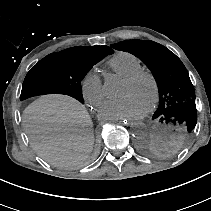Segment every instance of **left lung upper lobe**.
<instances>
[{"label": "left lung upper lobe", "mask_w": 211, "mask_h": 211, "mask_svg": "<svg viewBox=\"0 0 211 211\" xmlns=\"http://www.w3.org/2000/svg\"><path fill=\"white\" fill-rule=\"evenodd\" d=\"M111 47L142 60L158 85L159 107L152 119L163 124L167 137L159 147L143 143L142 152L157 156L168 148L183 146L191 137L197 122L195 90L184 64L169 49L153 41L127 40Z\"/></svg>", "instance_id": "left-lung-upper-lobe-1"}]
</instances>
